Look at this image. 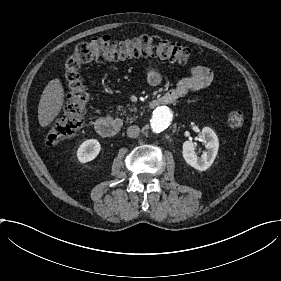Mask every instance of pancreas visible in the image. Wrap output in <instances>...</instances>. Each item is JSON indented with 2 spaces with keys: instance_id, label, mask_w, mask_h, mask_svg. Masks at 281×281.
Instances as JSON below:
<instances>
[{
  "instance_id": "1",
  "label": "pancreas",
  "mask_w": 281,
  "mask_h": 281,
  "mask_svg": "<svg viewBox=\"0 0 281 281\" xmlns=\"http://www.w3.org/2000/svg\"><path fill=\"white\" fill-rule=\"evenodd\" d=\"M136 110H137L136 108L130 109V111H132V112H133V111H136Z\"/></svg>"
}]
</instances>
